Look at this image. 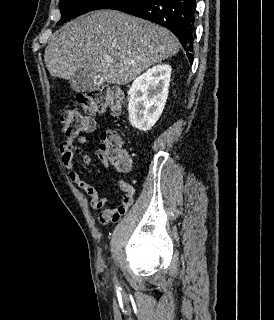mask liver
Masks as SVG:
<instances>
[{"mask_svg":"<svg viewBox=\"0 0 274 320\" xmlns=\"http://www.w3.org/2000/svg\"><path fill=\"white\" fill-rule=\"evenodd\" d=\"M179 48V40L166 28L117 10H96L59 28L44 62L53 78L71 82L77 74L95 70L102 82L125 86L178 54Z\"/></svg>","mask_w":274,"mask_h":320,"instance_id":"obj_1","label":"liver"}]
</instances>
